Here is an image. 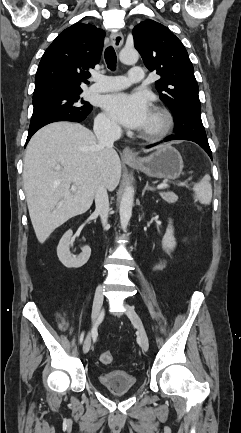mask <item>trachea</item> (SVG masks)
<instances>
[{
    "mask_svg": "<svg viewBox=\"0 0 241 433\" xmlns=\"http://www.w3.org/2000/svg\"><path fill=\"white\" fill-rule=\"evenodd\" d=\"M104 56H105V61H106L107 67L110 70H115L117 56H116L114 48L112 46L107 47L105 50Z\"/></svg>",
    "mask_w": 241,
    "mask_h": 433,
    "instance_id": "trachea-1",
    "label": "trachea"
}]
</instances>
